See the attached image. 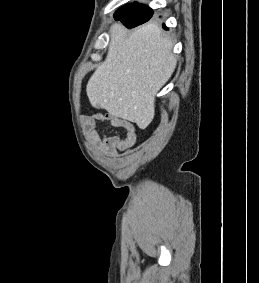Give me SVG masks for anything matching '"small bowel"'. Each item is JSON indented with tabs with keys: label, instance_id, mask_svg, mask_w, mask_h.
<instances>
[{
	"label": "small bowel",
	"instance_id": "small-bowel-1",
	"mask_svg": "<svg viewBox=\"0 0 259 283\" xmlns=\"http://www.w3.org/2000/svg\"><path fill=\"white\" fill-rule=\"evenodd\" d=\"M85 129L89 133L91 140L99 144L100 147L109 155L115 156L119 151H125L131 147L136 141V131L133 125L124 119H121L110 113H94L84 118ZM109 121L112 126L122 127L124 129V137L108 136L100 138L96 130L97 123Z\"/></svg>",
	"mask_w": 259,
	"mask_h": 283
}]
</instances>
